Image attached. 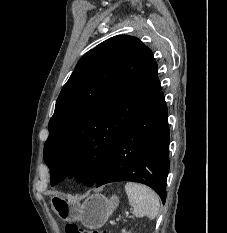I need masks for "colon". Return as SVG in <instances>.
Here are the masks:
<instances>
[{"label":"colon","instance_id":"colon-1","mask_svg":"<svg viewBox=\"0 0 227 233\" xmlns=\"http://www.w3.org/2000/svg\"><path fill=\"white\" fill-rule=\"evenodd\" d=\"M65 233H112V232L104 231V230H96V229H86L72 224L66 226Z\"/></svg>","mask_w":227,"mask_h":233}]
</instances>
